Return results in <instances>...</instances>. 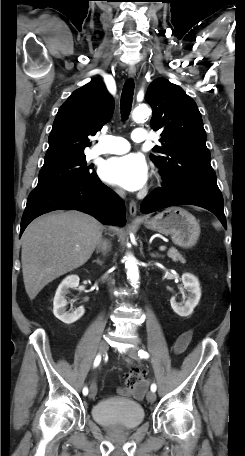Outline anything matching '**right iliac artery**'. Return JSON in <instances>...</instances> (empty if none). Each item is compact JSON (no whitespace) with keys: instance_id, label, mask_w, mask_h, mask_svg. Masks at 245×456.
Returning <instances> with one entry per match:
<instances>
[{"instance_id":"1","label":"right iliac artery","mask_w":245,"mask_h":456,"mask_svg":"<svg viewBox=\"0 0 245 456\" xmlns=\"http://www.w3.org/2000/svg\"><path fill=\"white\" fill-rule=\"evenodd\" d=\"M101 362V356L100 355H97L95 360H94V367L98 366ZM83 394L84 395H87L88 394V388L87 387H84L83 388Z\"/></svg>"}]
</instances>
